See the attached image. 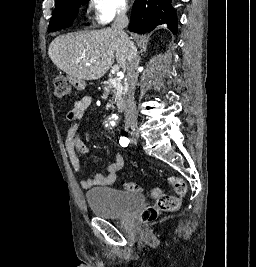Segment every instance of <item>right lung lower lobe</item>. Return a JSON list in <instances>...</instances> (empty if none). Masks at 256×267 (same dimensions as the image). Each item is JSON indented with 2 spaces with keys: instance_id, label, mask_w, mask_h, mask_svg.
I'll return each mask as SVG.
<instances>
[{
  "instance_id": "right-lung-lower-lobe-1",
  "label": "right lung lower lobe",
  "mask_w": 256,
  "mask_h": 267,
  "mask_svg": "<svg viewBox=\"0 0 256 267\" xmlns=\"http://www.w3.org/2000/svg\"><path fill=\"white\" fill-rule=\"evenodd\" d=\"M170 2L171 0H136L129 30L142 34L153 30L157 25L167 24L172 33L176 34L177 19Z\"/></svg>"
}]
</instances>
